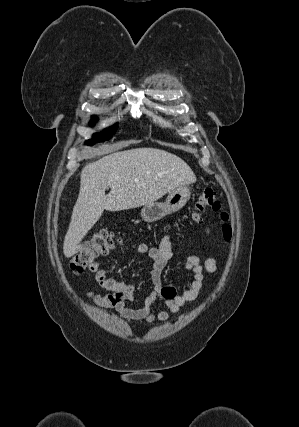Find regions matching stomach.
I'll list each match as a JSON object with an SVG mask.
<instances>
[{"instance_id":"1","label":"stomach","mask_w":299,"mask_h":427,"mask_svg":"<svg viewBox=\"0 0 299 427\" xmlns=\"http://www.w3.org/2000/svg\"><path fill=\"white\" fill-rule=\"evenodd\" d=\"M191 195L188 186H180L169 192L164 203L153 202L146 204L141 209V217L145 222H155L163 217L182 209Z\"/></svg>"}]
</instances>
